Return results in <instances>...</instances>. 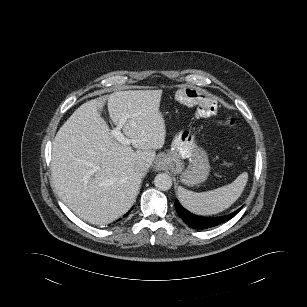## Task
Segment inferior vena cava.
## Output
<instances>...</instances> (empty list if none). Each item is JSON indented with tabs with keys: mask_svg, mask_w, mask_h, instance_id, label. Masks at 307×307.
Returning a JSON list of instances; mask_svg holds the SVG:
<instances>
[{
	"mask_svg": "<svg viewBox=\"0 0 307 307\" xmlns=\"http://www.w3.org/2000/svg\"><path fill=\"white\" fill-rule=\"evenodd\" d=\"M135 169H136L139 173L143 174V173L146 171V169H147L146 163H144V162L138 163V164L136 165Z\"/></svg>",
	"mask_w": 307,
	"mask_h": 307,
	"instance_id": "1",
	"label": "inferior vena cava"
}]
</instances>
